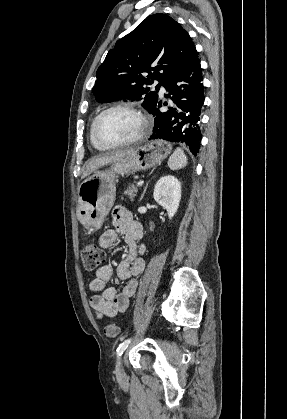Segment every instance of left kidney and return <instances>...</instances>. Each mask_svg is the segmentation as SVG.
<instances>
[{
	"label": "left kidney",
	"instance_id": "5707ae66",
	"mask_svg": "<svg viewBox=\"0 0 287 419\" xmlns=\"http://www.w3.org/2000/svg\"><path fill=\"white\" fill-rule=\"evenodd\" d=\"M153 197L167 210L171 219L177 212L181 200V183L172 175L163 176L155 185Z\"/></svg>",
	"mask_w": 287,
	"mask_h": 419
}]
</instances>
